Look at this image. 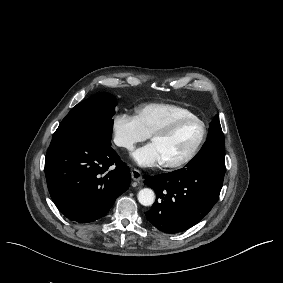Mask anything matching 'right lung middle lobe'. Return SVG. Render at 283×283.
<instances>
[{"label":"right lung middle lobe","instance_id":"obj_1","mask_svg":"<svg viewBox=\"0 0 283 283\" xmlns=\"http://www.w3.org/2000/svg\"><path fill=\"white\" fill-rule=\"evenodd\" d=\"M116 105L113 95L98 93L77 104L62 120L52 140L85 139L111 145L112 116Z\"/></svg>","mask_w":283,"mask_h":283}]
</instances>
